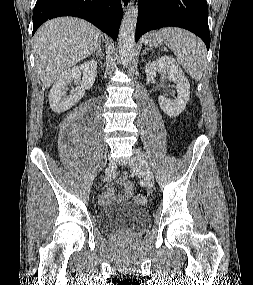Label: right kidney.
Instances as JSON below:
<instances>
[{"mask_svg": "<svg viewBox=\"0 0 253 285\" xmlns=\"http://www.w3.org/2000/svg\"><path fill=\"white\" fill-rule=\"evenodd\" d=\"M83 74L80 87L71 91L65 97V90L72 80L78 79ZM97 74V63L93 60L86 61L80 66L68 68L57 78L49 93V104L56 113L67 111L84 96L85 90L90 89L95 81Z\"/></svg>", "mask_w": 253, "mask_h": 285, "instance_id": "right-kidney-1", "label": "right kidney"}]
</instances>
